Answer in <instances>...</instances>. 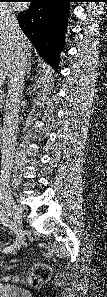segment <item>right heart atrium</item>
<instances>
[{
    "mask_svg": "<svg viewBox=\"0 0 107 297\" xmlns=\"http://www.w3.org/2000/svg\"><path fill=\"white\" fill-rule=\"evenodd\" d=\"M10 18H12L11 10L7 7L1 6L0 7V19L8 20Z\"/></svg>",
    "mask_w": 107,
    "mask_h": 297,
    "instance_id": "1",
    "label": "right heart atrium"
}]
</instances>
